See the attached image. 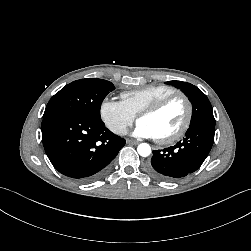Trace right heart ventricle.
<instances>
[{
	"instance_id": "1",
	"label": "right heart ventricle",
	"mask_w": 251,
	"mask_h": 251,
	"mask_svg": "<svg viewBox=\"0 0 251 251\" xmlns=\"http://www.w3.org/2000/svg\"><path fill=\"white\" fill-rule=\"evenodd\" d=\"M176 91V88L166 84L150 85L138 90L123 92L121 102L134 116H137L147 107Z\"/></svg>"
}]
</instances>
